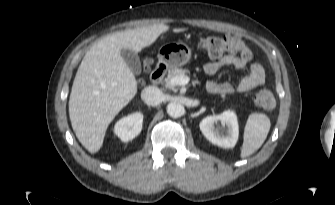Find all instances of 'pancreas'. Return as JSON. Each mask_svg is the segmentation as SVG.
<instances>
[{
  "label": "pancreas",
  "mask_w": 335,
  "mask_h": 205,
  "mask_svg": "<svg viewBox=\"0 0 335 205\" xmlns=\"http://www.w3.org/2000/svg\"><path fill=\"white\" fill-rule=\"evenodd\" d=\"M187 73H188V70H186V69L173 67L172 69H170V70L168 71V75H167V77L165 78L166 86H167L168 88H173L174 85L171 84V80H172L174 77H177V76H186Z\"/></svg>",
  "instance_id": "1"
}]
</instances>
